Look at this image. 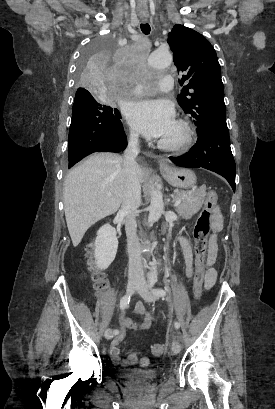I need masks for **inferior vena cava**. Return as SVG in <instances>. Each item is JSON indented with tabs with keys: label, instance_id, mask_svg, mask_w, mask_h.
Here are the masks:
<instances>
[{
	"label": "inferior vena cava",
	"instance_id": "obj_1",
	"mask_svg": "<svg viewBox=\"0 0 275 409\" xmlns=\"http://www.w3.org/2000/svg\"><path fill=\"white\" fill-rule=\"evenodd\" d=\"M137 132H130L128 146L124 152V192L121 213L126 217V237L128 245L129 269L128 277L130 281H145L141 251L139 249V241L136 235L137 209L141 202V184L139 180V166L135 162L137 154H139Z\"/></svg>",
	"mask_w": 275,
	"mask_h": 409
}]
</instances>
